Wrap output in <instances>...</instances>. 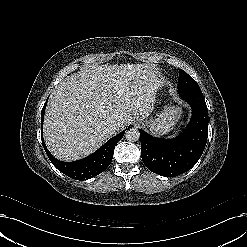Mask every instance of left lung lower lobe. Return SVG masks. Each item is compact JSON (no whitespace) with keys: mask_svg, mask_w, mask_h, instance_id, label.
<instances>
[{"mask_svg":"<svg viewBox=\"0 0 247 247\" xmlns=\"http://www.w3.org/2000/svg\"><path fill=\"white\" fill-rule=\"evenodd\" d=\"M178 93L192 107V119L179 137L167 140L139 130L143 163L165 177L190 170L201 157L208 137V110L200 87L178 88Z\"/></svg>","mask_w":247,"mask_h":247,"instance_id":"left-lung-lower-lobe-1","label":"left lung lower lobe"}]
</instances>
